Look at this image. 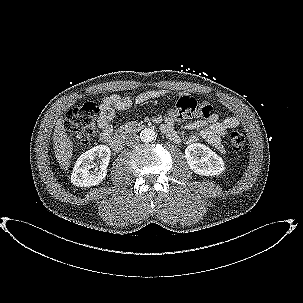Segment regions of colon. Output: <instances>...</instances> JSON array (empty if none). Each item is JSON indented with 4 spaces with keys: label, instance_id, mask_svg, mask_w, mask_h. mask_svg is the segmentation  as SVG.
<instances>
[{
    "label": "colon",
    "instance_id": "1",
    "mask_svg": "<svg viewBox=\"0 0 303 303\" xmlns=\"http://www.w3.org/2000/svg\"><path fill=\"white\" fill-rule=\"evenodd\" d=\"M172 114L179 118L200 117L201 103L190 96H182L176 102H170ZM99 113L97 103L87 102L83 106H74L65 116V127L80 146L90 144L94 133V124ZM230 146L233 151L240 152L245 144V134L237 129L228 134Z\"/></svg>",
    "mask_w": 303,
    "mask_h": 303
}]
</instances>
